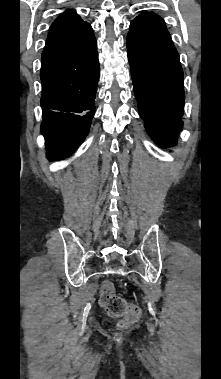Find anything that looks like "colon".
<instances>
[{
    "label": "colon",
    "mask_w": 221,
    "mask_h": 379,
    "mask_svg": "<svg viewBox=\"0 0 221 379\" xmlns=\"http://www.w3.org/2000/svg\"><path fill=\"white\" fill-rule=\"evenodd\" d=\"M99 301L110 316L122 317L120 326L123 328L129 327L140 318V308L118 296L112 282L108 280L101 286Z\"/></svg>",
    "instance_id": "1"
}]
</instances>
